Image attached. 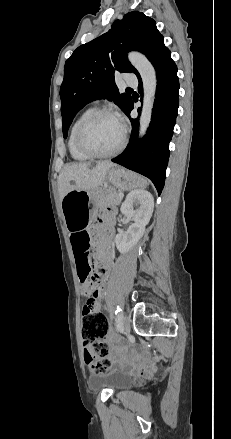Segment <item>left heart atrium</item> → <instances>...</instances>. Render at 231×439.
<instances>
[{"mask_svg": "<svg viewBox=\"0 0 231 439\" xmlns=\"http://www.w3.org/2000/svg\"><path fill=\"white\" fill-rule=\"evenodd\" d=\"M120 124L122 125V127L124 126L122 122H120Z\"/></svg>", "mask_w": 231, "mask_h": 439, "instance_id": "39dd6f15", "label": "left heart atrium"}]
</instances>
